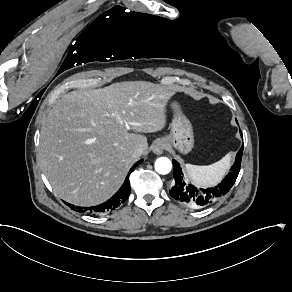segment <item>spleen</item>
<instances>
[{
  "label": "spleen",
  "mask_w": 292,
  "mask_h": 292,
  "mask_svg": "<svg viewBox=\"0 0 292 292\" xmlns=\"http://www.w3.org/2000/svg\"><path fill=\"white\" fill-rule=\"evenodd\" d=\"M230 153L209 165L187 164L186 168L195 184L214 185L224 175L229 166Z\"/></svg>",
  "instance_id": "spleen-1"
}]
</instances>
